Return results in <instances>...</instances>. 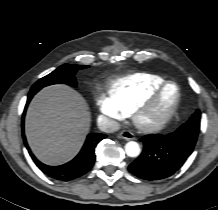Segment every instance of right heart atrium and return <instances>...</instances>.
<instances>
[{"mask_svg":"<svg viewBox=\"0 0 218 210\" xmlns=\"http://www.w3.org/2000/svg\"><path fill=\"white\" fill-rule=\"evenodd\" d=\"M97 104L102 114L112 122L119 121L124 117V112L112 96L100 95Z\"/></svg>","mask_w":218,"mask_h":210,"instance_id":"d8ad5b80","label":"right heart atrium"}]
</instances>
